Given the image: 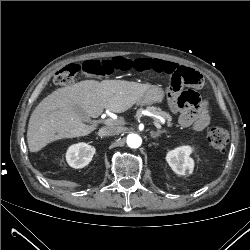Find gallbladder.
Instances as JSON below:
<instances>
[{"mask_svg":"<svg viewBox=\"0 0 250 250\" xmlns=\"http://www.w3.org/2000/svg\"><path fill=\"white\" fill-rule=\"evenodd\" d=\"M74 111H75V113H76L77 115H79L80 117H82V118L84 117V118H85L86 113L84 112V110H83L82 108L76 106V107L74 108Z\"/></svg>","mask_w":250,"mask_h":250,"instance_id":"1","label":"gallbladder"}]
</instances>
